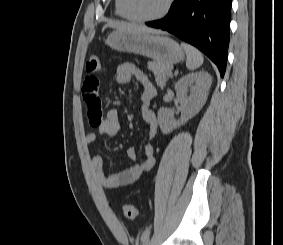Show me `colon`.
Returning <instances> with one entry per match:
<instances>
[{"label": "colon", "mask_w": 283, "mask_h": 245, "mask_svg": "<svg viewBox=\"0 0 283 245\" xmlns=\"http://www.w3.org/2000/svg\"><path fill=\"white\" fill-rule=\"evenodd\" d=\"M101 67L100 59L98 56L93 55L89 58L86 64V70L88 73L94 74L99 72ZM123 215L125 218L132 219L136 216L137 210L132 204H124L122 206Z\"/></svg>", "instance_id": "1"}]
</instances>
